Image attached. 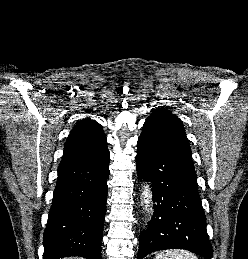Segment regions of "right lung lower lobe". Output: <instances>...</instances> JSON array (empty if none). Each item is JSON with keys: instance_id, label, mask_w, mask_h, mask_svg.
<instances>
[{"instance_id": "obj_1", "label": "right lung lower lobe", "mask_w": 248, "mask_h": 259, "mask_svg": "<svg viewBox=\"0 0 248 259\" xmlns=\"http://www.w3.org/2000/svg\"><path fill=\"white\" fill-rule=\"evenodd\" d=\"M108 176L109 151L99 158L58 168L43 259H101Z\"/></svg>"}]
</instances>
